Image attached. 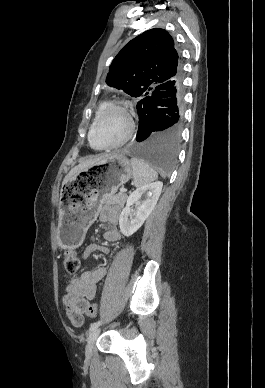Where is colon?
Here are the masks:
<instances>
[{
    "label": "colon",
    "instance_id": "1",
    "mask_svg": "<svg viewBox=\"0 0 265 388\" xmlns=\"http://www.w3.org/2000/svg\"><path fill=\"white\" fill-rule=\"evenodd\" d=\"M63 265L68 274L75 273L80 266V261L77 253L74 250H68L64 254ZM98 313V307L95 304H91L87 309V314L90 317H96Z\"/></svg>",
    "mask_w": 265,
    "mask_h": 388
}]
</instances>
